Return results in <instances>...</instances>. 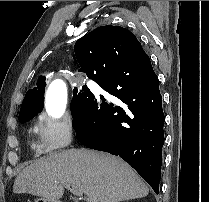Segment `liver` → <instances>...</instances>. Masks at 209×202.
<instances>
[{"mask_svg": "<svg viewBox=\"0 0 209 202\" xmlns=\"http://www.w3.org/2000/svg\"><path fill=\"white\" fill-rule=\"evenodd\" d=\"M61 181L82 190L87 202L127 201L149 192L123 160L85 148L54 152L34 161L17 175L13 192L58 201L64 193Z\"/></svg>", "mask_w": 209, "mask_h": 202, "instance_id": "obj_1", "label": "liver"}]
</instances>
